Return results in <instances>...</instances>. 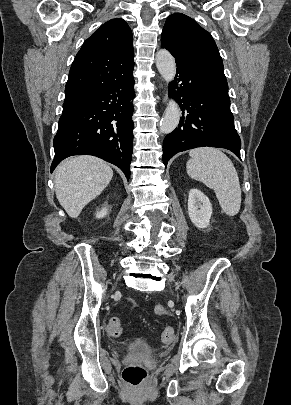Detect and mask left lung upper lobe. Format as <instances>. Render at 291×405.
Returning a JSON list of instances; mask_svg holds the SVG:
<instances>
[{"label":"left lung upper lobe","mask_w":291,"mask_h":405,"mask_svg":"<svg viewBox=\"0 0 291 405\" xmlns=\"http://www.w3.org/2000/svg\"><path fill=\"white\" fill-rule=\"evenodd\" d=\"M161 46L175 60L223 69L222 58L211 34L190 17L174 13L164 25Z\"/></svg>","instance_id":"5c2ea615"}]
</instances>
